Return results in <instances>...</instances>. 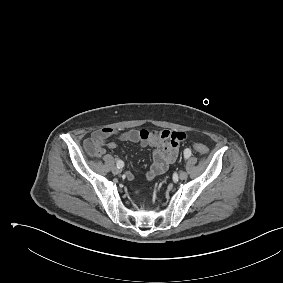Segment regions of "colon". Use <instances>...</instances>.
<instances>
[{"label": "colon", "mask_w": 283, "mask_h": 283, "mask_svg": "<svg viewBox=\"0 0 283 283\" xmlns=\"http://www.w3.org/2000/svg\"><path fill=\"white\" fill-rule=\"evenodd\" d=\"M86 147L89 153L93 156H98L101 154V146L94 140H88L86 142ZM192 147L196 153L199 155H206L209 151L208 147L202 143L194 142Z\"/></svg>", "instance_id": "obj_1"}]
</instances>
